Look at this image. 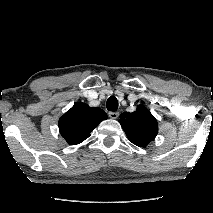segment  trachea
I'll list each match as a JSON object with an SVG mask.
<instances>
[{"mask_svg": "<svg viewBox=\"0 0 213 213\" xmlns=\"http://www.w3.org/2000/svg\"><path fill=\"white\" fill-rule=\"evenodd\" d=\"M106 107L109 111L115 112L118 109V101L114 96L108 98Z\"/></svg>", "mask_w": 213, "mask_h": 213, "instance_id": "3493384b", "label": "trachea"}]
</instances>
